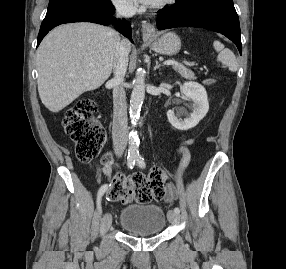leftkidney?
<instances>
[{"label":"left kidney","instance_id":"obj_1","mask_svg":"<svg viewBox=\"0 0 286 269\" xmlns=\"http://www.w3.org/2000/svg\"><path fill=\"white\" fill-rule=\"evenodd\" d=\"M182 93L193 102V111L185 119L175 115L174 110H168L167 117L171 125L178 130H189L195 127L204 118L209 110L207 92L196 82H185Z\"/></svg>","mask_w":286,"mask_h":269}]
</instances>
